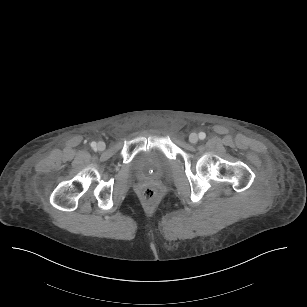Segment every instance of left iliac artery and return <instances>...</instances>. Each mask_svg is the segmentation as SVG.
Masks as SVG:
<instances>
[{
  "instance_id": "1",
  "label": "left iliac artery",
  "mask_w": 307,
  "mask_h": 307,
  "mask_svg": "<svg viewBox=\"0 0 307 307\" xmlns=\"http://www.w3.org/2000/svg\"><path fill=\"white\" fill-rule=\"evenodd\" d=\"M205 137H206V134H205L204 132H200V133H199V138H200L201 140H204Z\"/></svg>"
}]
</instances>
